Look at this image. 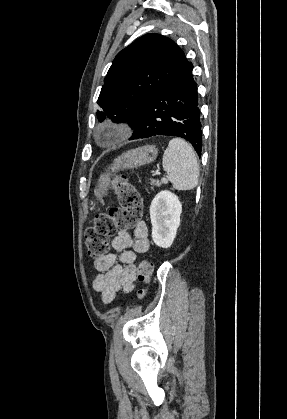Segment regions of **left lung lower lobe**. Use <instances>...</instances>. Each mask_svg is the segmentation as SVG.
Returning <instances> with one entry per match:
<instances>
[{
	"label": "left lung lower lobe",
	"instance_id": "1",
	"mask_svg": "<svg viewBox=\"0 0 287 419\" xmlns=\"http://www.w3.org/2000/svg\"><path fill=\"white\" fill-rule=\"evenodd\" d=\"M192 69L191 64L148 100L130 140L156 135L177 136L189 141L201 156L202 131Z\"/></svg>",
	"mask_w": 287,
	"mask_h": 419
}]
</instances>
